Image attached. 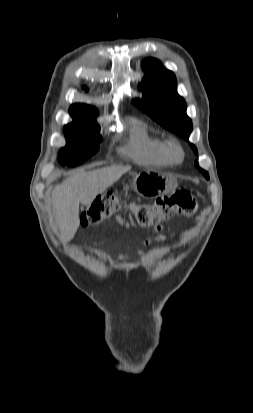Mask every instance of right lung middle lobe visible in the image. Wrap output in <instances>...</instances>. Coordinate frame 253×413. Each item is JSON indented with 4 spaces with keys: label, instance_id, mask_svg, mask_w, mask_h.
Returning <instances> with one entry per match:
<instances>
[{
    "label": "right lung middle lobe",
    "instance_id": "obj_1",
    "mask_svg": "<svg viewBox=\"0 0 253 413\" xmlns=\"http://www.w3.org/2000/svg\"><path fill=\"white\" fill-rule=\"evenodd\" d=\"M99 129L94 120L74 121L65 125L66 146L60 150V163L74 167L95 154L102 140L101 136L94 135Z\"/></svg>",
    "mask_w": 253,
    "mask_h": 413
}]
</instances>
